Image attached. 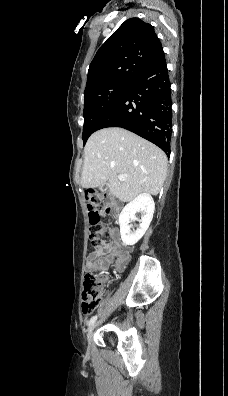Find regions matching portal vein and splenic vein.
<instances>
[{
    "label": "portal vein and splenic vein",
    "mask_w": 228,
    "mask_h": 396,
    "mask_svg": "<svg viewBox=\"0 0 228 396\" xmlns=\"http://www.w3.org/2000/svg\"><path fill=\"white\" fill-rule=\"evenodd\" d=\"M118 179H119L120 181H125V180H126V176H125V175H119V176H118Z\"/></svg>",
    "instance_id": "obj_1"
}]
</instances>
